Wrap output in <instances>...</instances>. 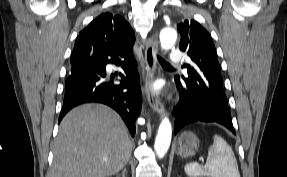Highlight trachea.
I'll use <instances>...</instances> for the list:
<instances>
[{
	"label": "trachea",
	"instance_id": "obj_1",
	"mask_svg": "<svg viewBox=\"0 0 287 177\" xmlns=\"http://www.w3.org/2000/svg\"><path fill=\"white\" fill-rule=\"evenodd\" d=\"M157 58H158V61L160 62L161 65L170 67V65L164 59H162L159 56H157Z\"/></svg>",
	"mask_w": 287,
	"mask_h": 177
}]
</instances>
